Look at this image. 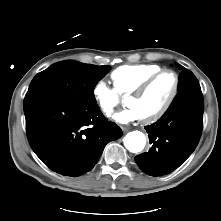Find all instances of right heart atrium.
I'll list each match as a JSON object with an SVG mask.
<instances>
[{"instance_id":"1","label":"right heart atrium","mask_w":221,"mask_h":221,"mask_svg":"<svg viewBox=\"0 0 221 221\" xmlns=\"http://www.w3.org/2000/svg\"><path fill=\"white\" fill-rule=\"evenodd\" d=\"M92 94L101 112L107 117L111 116L119 103L118 92L100 80L94 85Z\"/></svg>"}]
</instances>
